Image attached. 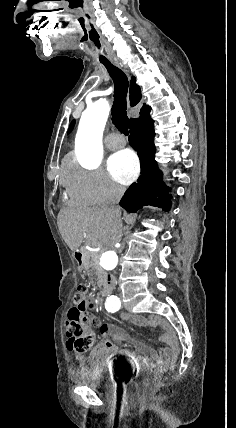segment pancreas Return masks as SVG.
<instances>
[{"instance_id":"pancreas-1","label":"pancreas","mask_w":236,"mask_h":428,"mask_svg":"<svg viewBox=\"0 0 236 428\" xmlns=\"http://www.w3.org/2000/svg\"><path fill=\"white\" fill-rule=\"evenodd\" d=\"M84 252H87V250H84ZM100 258H101V252H87L86 254L87 268H94V270H99Z\"/></svg>"}]
</instances>
